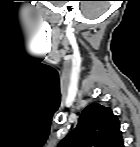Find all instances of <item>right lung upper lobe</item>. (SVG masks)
<instances>
[{
    "label": "right lung upper lobe",
    "instance_id": "cb5924a9",
    "mask_svg": "<svg viewBox=\"0 0 140 147\" xmlns=\"http://www.w3.org/2000/svg\"><path fill=\"white\" fill-rule=\"evenodd\" d=\"M120 123L111 108L93 103L78 119L77 127L59 144V147H123Z\"/></svg>",
    "mask_w": 140,
    "mask_h": 147
}]
</instances>
